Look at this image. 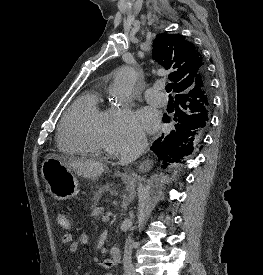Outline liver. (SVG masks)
<instances>
[{
    "label": "liver",
    "mask_w": 263,
    "mask_h": 275,
    "mask_svg": "<svg viewBox=\"0 0 263 275\" xmlns=\"http://www.w3.org/2000/svg\"><path fill=\"white\" fill-rule=\"evenodd\" d=\"M62 160L67 168L74 171L79 176L87 179H97L104 171V166L100 161L96 160H66L65 157H61L55 154H50ZM116 194V193H114Z\"/></svg>",
    "instance_id": "6515ba94"
}]
</instances>
